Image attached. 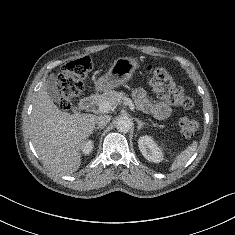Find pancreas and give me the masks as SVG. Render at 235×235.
Wrapping results in <instances>:
<instances>
[{
  "instance_id": "obj_1",
  "label": "pancreas",
  "mask_w": 235,
  "mask_h": 235,
  "mask_svg": "<svg viewBox=\"0 0 235 235\" xmlns=\"http://www.w3.org/2000/svg\"><path fill=\"white\" fill-rule=\"evenodd\" d=\"M126 98H128L127 95H125L122 92L109 90L104 92L103 94L98 95L95 103L99 106L101 103L108 101L111 103V105H115L117 103H120L122 100Z\"/></svg>"
}]
</instances>
